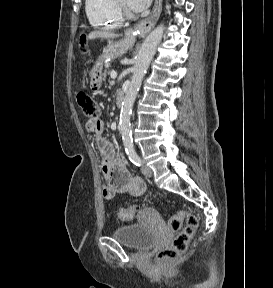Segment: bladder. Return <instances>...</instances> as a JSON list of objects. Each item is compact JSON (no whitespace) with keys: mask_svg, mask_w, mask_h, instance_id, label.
<instances>
[{"mask_svg":"<svg viewBox=\"0 0 273 288\" xmlns=\"http://www.w3.org/2000/svg\"><path fill=\"white\" fill-rule=\"evenodd\" d=\"M112 236L126 247L139 251L150 249L158 239L155 231L138 224L120 226Z\"/></svg>","mask_w":273,"mask_h":288,"instance_id":"31cf9c89","label":"bladder"}]
</instances>
